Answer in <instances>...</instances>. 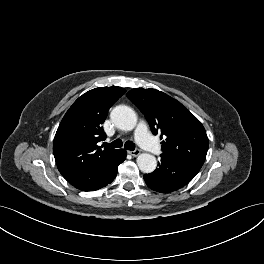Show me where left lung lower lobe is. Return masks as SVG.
Returning <instances> with one entry per match:
<instances>
[{
  "mask_svg": "<svg viewBox=\"0 0 264 264\" xmlns=\"http://www.w3.org/2000/svg\"><path fill=\"white\" fill-rule=\"evenodd\" d=\"M200 168L186 160L161 155L158 168L145 174L144 180L149 188L161 193H170L188 184Z\"/></svg>",
  "mask_w": 264,
  "mask_h": 264,
  "instance_id": "left-lung-lower-lobe-1",
  "label": "left lung lower lobe"
}]
</instances>
